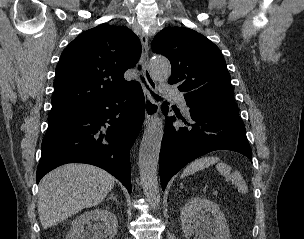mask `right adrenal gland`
<instances>
[{"instance_id":"2a0ac1e0","label":"right adrenal gland","mask_w":304,"mask_h":239,"mask_svg":"<svg viewBox=\"0 0 304 239\" xmlns=\"http://www.w3.org/2000/svg\"><path fill=\"white\" fill-rule=\"evenodd\" d=\"M109 199H113V200H115L117 202V198L114 196L113 193L110 195Z\"/></svg>"}]
</instances>
